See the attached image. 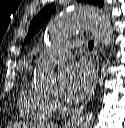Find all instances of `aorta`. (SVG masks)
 <instances>
[{"mask_svg":"<svg viewBox=\"0 0 125 128\" xmlns=\"http://www.w3.org/2000/svg\"><path fill=\"white\" fill-rule=\"evenodd\" d=\"M86 30L91 31L103 45L111 44L113 30L109 17L97 7L86 4L74 5L56 18L46 29L44 39H63ZM34 78L36 85L43 90L55 89L59 84V73L46 63L35 69ZM93 122L94 114L89 112L73 128H92Z\"/></svg>","mask_w":125,"mask_h":128,"instance_id":"1","label":"aorta"}]
</instances>
